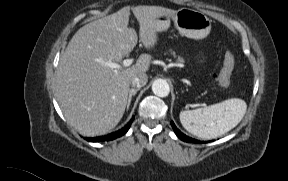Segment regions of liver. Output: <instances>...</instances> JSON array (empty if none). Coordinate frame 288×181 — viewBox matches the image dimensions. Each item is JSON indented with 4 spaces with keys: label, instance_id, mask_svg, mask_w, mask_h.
<instances>
[{
    "label": "liver",
    "instance_id": "obj_1",
    "mask_svg": "<svg viewBox=\"0 0 288 181\" xmlns=\"http://www.w3.org/2000/svg\"><path fill=\"white\" fill-rule=\"evenodd\" d=\"M176 11L136 6L139 38L150 49L157 43V15ZM130 7L81 27L68 43L56 71L55 94L67 122L83 136H98L120 122L128 102L132 79L149 70L151 56L141 54L131 67L113 69L136 46L138 36L129 24Z\"/></svg>",
    "mask_w": 288,
    "mask_h": 181
}]
</instances>
